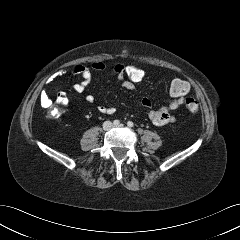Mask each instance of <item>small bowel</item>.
<instances>
[{
  "instance_id": "obj_1",
  "label": "small bowel",
  "mask_w": 240,
  "mask_h": 240,
  "mask_svg": "<svg viewBox=\"0 0 240 240\" xmlns=\"http://www.w3.org/2000/svg\"><path fill=\"white\" fill-rule=\"evenodd\" d=\"M105 70V64L102 61H94L91 67L83 64H76L69 70H62L61 73H71L72 75H77L82 78L80 82L75 83L72 89L76 93H83L92 81V72H103ZM113 73L121 85L128 91H135L136 86L128 81L124 76V64L117 62L113 66ZM85 100L88 103L94 102L95 98L92 94H87ZM56 103L62 105L63 107H68L70 105V100L66 93L59 92L55 99ZM40 103L44 108H49L52 106V99L48 96L46 92H42L40 95ZM142 105L145 108H150L149 119L156 126H163L168 123L174 122L176 117L173 112L177 110L181 105L185 103V97L172 98L168 103L158 107L152 108V102L149 98L143 97L141 100ZM114 107H108L104 105L98 106V111L103 114H113L115 112Z\"/></svg>"
}]
</instances>
